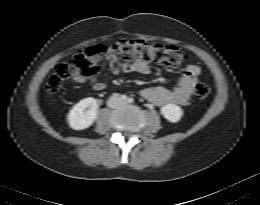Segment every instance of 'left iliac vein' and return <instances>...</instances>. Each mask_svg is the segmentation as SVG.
I'll use <instances>...</instances> for the list:
<instances>
[{"label":"left iliac vein","instance_id":"4c4485c4","mask_svg":"<svg viewBox=\"0 0 260 205\" xmlns=\"http://www.w3.org/2000/svg\"><path fill=\"white\" fill-rule=\"evenodd\" d=\"M120 103H121V104H125V103H126V101H122V100H120Z\"/></svg>","mask_w":260,"mask_h":205}]
</instances>
